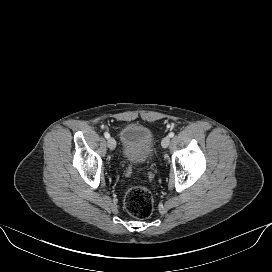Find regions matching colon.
Masks as SVG:
<instances>
[{
  "label": "colon",
  "instance_id": "1",
  "mask_svg": "<svg viewBox=\"0 0 272 272\" xmlns=\"http://www.w3.org/2000/svg\"><path fill=\"white\" fill-rule=\"evenodd\" d=\"M124 204L127 212L139 219L148 218L153 211V197L149 190L138 185H129Z\"/></svg>",
  "mask_w": 272,
  "mask_h": 272
}]
</instances>
